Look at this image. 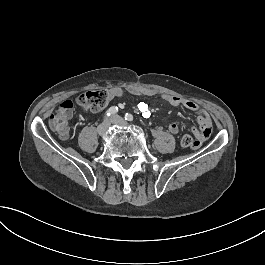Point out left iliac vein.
I'll list each match as a JSON object with an SVG mask.
<instances>
[{
  "label": "left iliac vein",
  "instance_id": "4c4485c4",
  "mask_svg": "<svg viewBox=\"0 0 265 265\" xmlns=\"http://www.w3.org/2000/svg\"><path fill=\"white\" fill-rule=\"evenodd\" d=\"M110 121L111 123L116 124V125L128 126L127 121H125L122 117L117 116V115L113 116Z\"/></svg>",
  "mask_w": 265,
  "mask_h": 265
}]
</instances>
